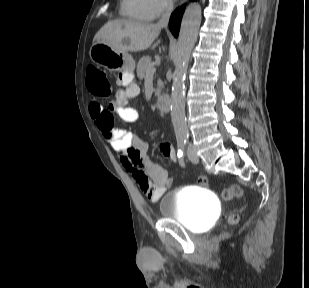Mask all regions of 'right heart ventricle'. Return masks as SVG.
Here are the masks:
<instances>
[{
	"instance_id": "right-heart-ventricle-1",
	"label": "right heart ventricle",
	"mask_w": 309,
	"mask_h": 288,
	"mask_svg": "<svg viewBox=\"0 0 309 288\" xmlns=\"http://www.w3.org/2000/svg\"><path fill=\"white\" fill-rule=\"evenodd\" d=\"M120 12L134 21H150L154 18L147 0H121Z\"/></svg>"
}]
</instances>
